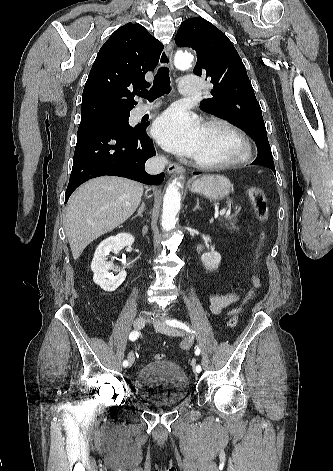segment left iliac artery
Wrapping results in <instances>:
<instances>
[{
  "label": "left iliac artery",
  "instance_id": "obj_1",
  "mask_svg": "<svg viewBox=\"0 0 333 471\" xmlns=\"http://www.w3.org/2000/svg\"><path fill=\"white\" fill-rule=\"evenodd\" d=\"M166 323L170 326H173V327H177V328H180V329H183L189 333H193V331L189 328V326H187L185 323L181 322V321H178L176 319H173V320H166ZM195 354L198 356L200 354V348L197 346L196 349H195ZM195 370L196 372H201V366L200 365H197L195 367Z\"/></svg>",
  "mask_w": 333,
  "mask_h": 471
}]
</instances>
